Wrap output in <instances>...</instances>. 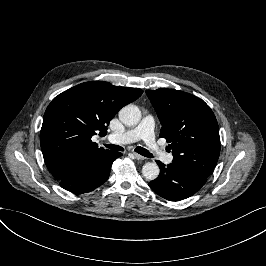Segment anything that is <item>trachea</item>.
Here are the masks:
<instances>
[{
    "label": "trachea",
    "instance_id": "obj_1",
    "mask_svg": "<svg viewBox=\"0 0 266 266\" xmlns=\"http://www.w3.org/2000/svg\"><path fill=\"white\" fill-rule=\"evenodd\" d=\"M105 146L111 150H115V151H124V148L122 146L119 145H114V144H105ZM135 151L140 154L143 155L144 157H149L152 158L153 155L145 148H142L140 146L135 148Z\"/></svg>",
    "mask_w": 266,
    "mask_h": 266
}]
</instances>
